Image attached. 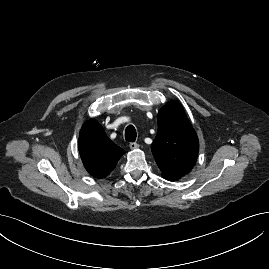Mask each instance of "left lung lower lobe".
Listing matches in <instances>:
<instances>
[{
  "mask_svg": "<svg viewBox=\"0 0 269 269\" xmlns=\"http://www.w3.org/2000/svg\"><path fill=\"white\" fill-rule=\"evenodd\" d=\"M165 179H167V180H169V181H175V180H178V179H176V178H165Z\"/></svg>",
  "mask_w": 269,
  "mask_h": 269,
  "instance_id": "left-lung-lower-lobe-1",
  "label": "left lung lower lobe"
}]
</instances>
